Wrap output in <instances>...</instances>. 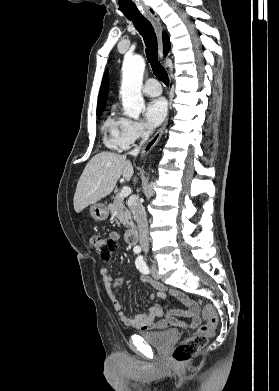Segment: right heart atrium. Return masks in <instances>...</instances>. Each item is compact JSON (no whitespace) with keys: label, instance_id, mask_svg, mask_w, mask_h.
I'll return each mask as SVG.
<instances>
[{"label":"right heart atrium","instance_id":"d8ad5b80","mask_svg":"<svg viewBox=\"0 0 279 391\" xmlns=\"http://www.w3.org/2000/svg\"><path fill=\"white\" fill-rule=\"evenodd\" d=\"M123 148L144 139L148 134L147 126L141 122L132 119H123L122 127Z\"/></svg>","mask_w":279,"mask_h":391}]
</instances>
